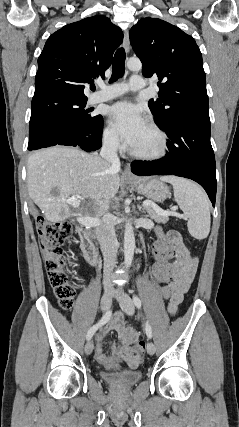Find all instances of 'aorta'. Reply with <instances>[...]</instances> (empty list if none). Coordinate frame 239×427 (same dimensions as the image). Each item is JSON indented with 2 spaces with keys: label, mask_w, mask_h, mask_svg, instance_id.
Returning a JSON list of instances; mask_svg holds the SVG:
<instances>
[{
  "label": "aorta",
  "mask_w": 239,
  "mask_h": 427,
  "mask_svg": "<svg viewBox=\"0 0 239 427\" xmlns=\"http://www.w3.org/2000/svg\"><path fill=\"white\" fill-rule=\"evenodd\" d=\"M127 68L131 71H140L142 68L141 61L137 58H130L127 61ZM135 249V237L133 232V226L131 223H127L124 232V264L125 268L128 269L133 260Z\"/></svg>",
  "instance_id": "762f6f07"
}]
</instances>
